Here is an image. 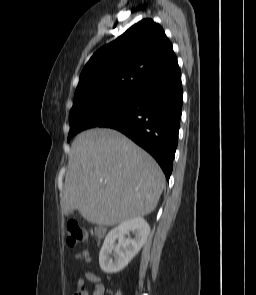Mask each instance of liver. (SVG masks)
I'll return each mask as SVG.
<instances>
[{
  "label": "liver",
  "instance_id": "obj_1",
  "mask_svg": "<svg viewBox=\"0 0 256 295\" xmlns=\"http://www.w3.org/2000/svg\"><path fill=\"white\" fill-rule=\"evenodd\" d=\"M165 176L157 162L123 134L91 129L72 143L62 214L78 210L92 224L142 218L157 206Z\"/></svg>",
  "mask_w": 256,
  "mask_h": 295
}]
</instances>
